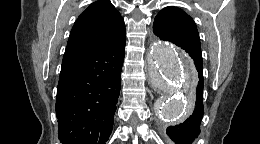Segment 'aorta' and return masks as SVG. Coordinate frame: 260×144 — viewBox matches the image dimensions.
I'll return each mask as SVG.
<instances>
[{
    "label": "aorta",
    "mask_w": 260,
    "mask_h": 144,
    "mask_svg": "<svg viewBox=\"0 0 260 144\" xmlns=\"http://www.w3.org/2000/svg\"><path fill=\"white\" fill-rule=\"evenodd\" d=\"M150 77L154 87L170 91L157 99L163 120L181 119L189 112L186 91L191 83L193 66L188 55L169 42L157 40L149 52Z\"/></svg>",
    "instance_id": "1"
}]
</instances>
